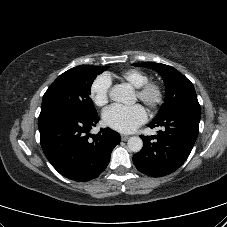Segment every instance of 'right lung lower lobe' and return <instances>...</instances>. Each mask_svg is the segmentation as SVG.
Returning <instances> with one entry per match:
<instances>
[{"label": "right lung lower lobe", "instance_id": "1", "mask_svg": "<svg viewBox=\"0 0 227 227\" xmlns=\"http://www.w3.org/2000/svg\"><path fill=\"white\" fill-rule=\"evenodd\" d=\"M99 119L97 115L86 117L65 109L40 113L41 147L64 177L84 182L96 178L107 167L120 135L110 128L89 134Z\"/></svg>", "mask_w": 227, "mask_h": 227}]
</instances>
